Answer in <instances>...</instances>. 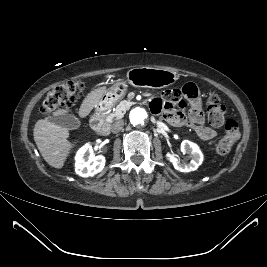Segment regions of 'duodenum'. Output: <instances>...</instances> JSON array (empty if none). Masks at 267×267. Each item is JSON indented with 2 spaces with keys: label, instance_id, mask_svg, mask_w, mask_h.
Instances as JSON below:
<instances>
[{
  "label": "duodenum",
  "instance_id": "410a0bca",
  "mask_svg": "<svg viewBox=\"0 0 267 267\" xmlns=\"http://www.w3.org/2000/svg\"><path fill=\"white\" fill-rule=\"evenodd\" d=\"M91 126H92L93 131L98 135H105L108 133V130H109L108 124L104 120V117L101 111H97L92 115Z\"/></svg>",
  "mask_w": 267,
  "mask_h": 267
}]
</instances>
